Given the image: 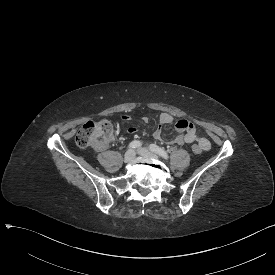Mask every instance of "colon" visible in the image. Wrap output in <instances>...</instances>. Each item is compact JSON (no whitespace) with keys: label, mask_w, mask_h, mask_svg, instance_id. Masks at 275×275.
Listing matches in <instances>:
<instances>
[{"label":"colon","mask_w":275,"mask_h":275,"mask_svg":"<svg viewBox=\"0 0 275 275\" xmlns=\"http://www.w3.org/2000/svg\"><path fill=\"white\" fill-rule=\"evenodd\" d=\"M112 138L113 127L109 121H88L77 132L75 141L80 148H93L104 151L106 143L110 142ZM205 149L206 146L203 144L193 146V151L196 153L203 152Z\"/></svg>","instance_id":"obj_1"}]
</instances>
